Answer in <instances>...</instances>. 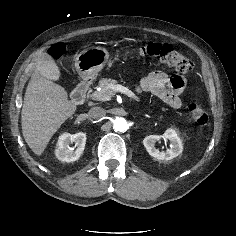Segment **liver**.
I'll return each mask as SVG.
<instances>
[{
	"mask_svg": "<svg viewBox=\"0 0 236 236\" xmlns=\"http://www.w3.org/2000/svg\"><path fill=\"white\" fill-rule=\"evenodd\" d=\"M50 79L47 69L38 61L21 112L24 139L36 155H42L55 132L77 109L68 100L67 91Z\"/></svg>",
	"mask_w": 236,
	"mask_h": 236,
	"instance_id": "1",
	"label": "liver"
}]
</instances>
